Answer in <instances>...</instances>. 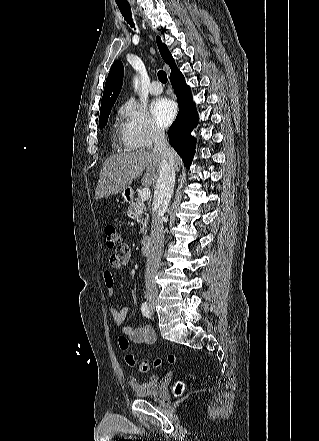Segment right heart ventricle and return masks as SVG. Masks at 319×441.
I'll use <instances>...</instances> for the list:
<instances>
[{"label":"right heart ventricle","mask_w":319,"mask_h":441,"mask_svg":"<svg viewBox=\"0 0 319 441\" xmlns=\"http://www.w3.org/2000/svg\"><path fill=\"white\" fill-rule=\"evenodd\" d=\"M119 130H118V126H115V140L118 142H120V143H123V139H122V133H121V135L119 136V132H118ZM123 145H124V143H123ZM125 146V145H124Z\"/></svg>","instance_id":"obj_1"}]
</instances>
